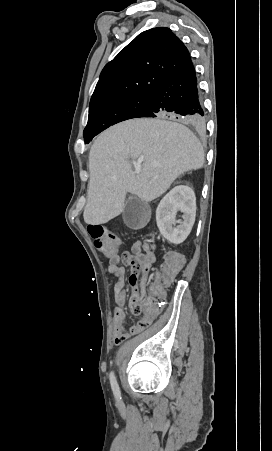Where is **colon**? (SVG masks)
<instances>
[{
    "mask_svg": "<svg viewBox=\"0 0 272 451\" xmlns=\"http://www.w3.org/2000/svg\"><path fill=\"white\" fill-rule=\"evenodd\" d=\"M88 232L94 240V244L98 250L102 251L103 256H116L118 236L109 231L106 227L88 226ZM120 261L126 268L136 271H148L149 263L147 258H137V256L131 252L124 251L119 255ZM165 259L167 262H162L161 274H158V283H163L162 286L157 288H142L141 294H139V302L132 307L133 314H139L142 310H156L158 306L164 303H170V294H167V289L163 286H169L172 279L175 277V271H182L184 264L178 258L177 251H166ZM109 268L115 271L119 268V261L117 259L109 260ZM156 285V284H155ZM148 320L138 321L132 328L131 332L137 333L148 326ZM127 336L124 332L115 333V342L119 344Z\"/></svg>",
    "mask_w": 272,
    "mask_h": 451,
    "instance_id": "obj_1",
    "label": "colon"
}]
</instances>
